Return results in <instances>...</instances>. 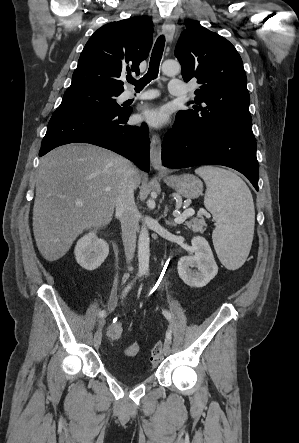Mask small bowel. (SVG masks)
Returning a JSON list of instances; mask_svg holds the SVG:
<instances>
[{
    "label": "small bowel",
    "mask_w": 299,
    "mask_h": 443,
    "mask_svg": "<svg viewBox=\"0 0 299 443\" xmlns=\"http://www.w3.org/2000/svg\"><path fill=\"white\" fill-rule=\"evenodd\" d=\"M115 307H116V299H115V298H112V299L110 300L109 305H108L107 313H108V314H111V313L115 310Z\"/></svg>",
    "instance_id": "1"
}]
</instances>
